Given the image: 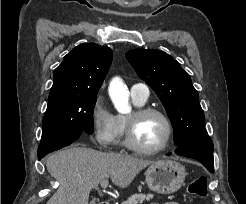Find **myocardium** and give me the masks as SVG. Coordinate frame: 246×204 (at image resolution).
<instances>
[{
    "label": "myocardium",
    "mask_w": 246,
    "mask_h": 204,
    "mask_svg": "<svg viewBox=\"0 0 246 204\" xmlns=\"http://www.w3.org/2000/svg\"><path fill=\"white\" fill-rule=\"evenodd\" d=\"M149 115H157L163 119L166 124L167 134L164 142L157 148L148 149L142 147L136 141V127L137 123L140 119L149 116ZM174 135V128L172 121L168 117L166 113L161 111L160 109L154 107H139L137 108L131 115L126 117V128H125V136L124 143L125 145L132 151L143 154V155H154L158 154L168 148L170 145Z\"/></svg>",
    "instance_id": "f54148a6"
}]
</instances>
